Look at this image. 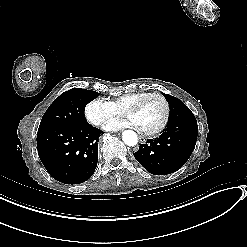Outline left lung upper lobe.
<instances>
[{"label": "left lung upper lobe", "instance_id": "5c2ea615", "mask_svg": "<svg viewBox=\"0 0 247 247\" xmlns=\"http://www.w3.org/2000/svg\"><path fill=\"white\" fill-rule=\"evenodd\" d=\"M170 105V117L168 125L179 122H197L191 110L178 98L162 93Z\"/></svg>", "mask_w": 247, "mask_h": 247}]
</instances>
